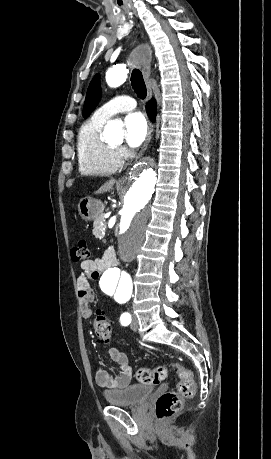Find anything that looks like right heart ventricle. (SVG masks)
Returning <instances> with one entry per match:
<instances>
[{"label":"right heart ventricle","instance_id":"e07e8e85","mask_svg":"<svg viewBox=\"0 0 271 459\" xmlns=\"http://www.w3.org/2000/svg\"><path fill=\"white\" fill-rule=\"evenodd\" d=\"M104 122L92 116L78 131L76 156L81 175H108L117 171L121 165L117 150L111 148L101 137Z\"/></svg>","mask_w":271,"mask_h":459}]
</instances>
